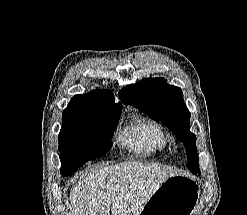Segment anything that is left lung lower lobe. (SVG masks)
<instances>
[{
	"mask_svg": "<svg viewBox=\"0 0 247 215\" xmlns=\"http://www.w3.org/2000/svg\"><path fill=\"white\" fill-rule=\"evenodd\" d=\"M194 174H198V175H199V174H200V172H198V173H194Z\"/></svg>",
	"mask_w": 247,
	"mask_h": 215,
	"instance_id": "left-lung-lower-lobe-1",
	"label": "left lung lower lobe"
}]
</instances>
